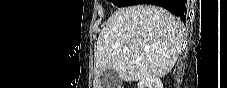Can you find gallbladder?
<instances>
[{
  "mask_svg": "<svg viewBox=\"0 0 227 88\" xmlns=\"http://www.w3.org/2000/svg\"><path fill=\"white\" fill-rule=\"evenodd\" d=\"M99 82L103 88H117L120 84V78L114 69H108L100 74Z\"/></svg>",
  "mask_w": 227,
  "mask_h": 88,
  "instance_id": "1",
  "label": "gallbladder"
}]
</instances>
